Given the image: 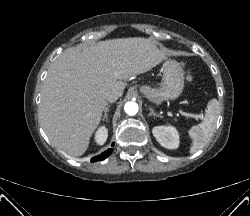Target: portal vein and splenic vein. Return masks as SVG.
Returning <instances> with one entry per match:
<instances>
[{
  "label": "portal vein and splenic vein",
  "instance_id": "18ae733b",
  "mask_svg": "<svg viewBox=\"0 0 250 216\" xmlns=\"http://www.w3.org/2000/svg\"><path fill=\"white\" fill-rule=\"evenodd\" d=\"M183 115H185L186 117H192L195 118L196 120H198L199 118H201V115H195V114H189V113H184L181 112Z\"/></svg>",
  "mask_w": 250,
  "mask_h": 216
}]
</instances>
